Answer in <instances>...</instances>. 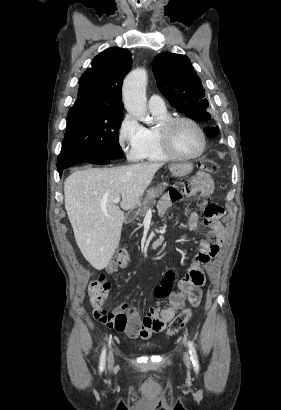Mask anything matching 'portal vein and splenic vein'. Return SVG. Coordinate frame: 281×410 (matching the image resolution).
<instances>
[{
  "instance_id": "portal-vein-and-splenic-vein-1",
  "label": "portal vein and splenic vein",
  "mask_w": 281,
  "mask_h": 410,
  "mask_svg": "<svg viewBox=\"0 0 281 410\" xmlns=\"http://www.w3.org/2000/svg\"><path fill=\"white\" fill-rule=\"evenodd\" d=\"M120 200H121V197L118 196V197H116V198L113 200V202L117 204V203L120 202Z\"/></svg>"
}]
</instances>
